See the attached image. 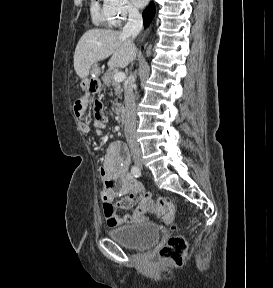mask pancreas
<instances>
[{
  "label": "pancreas",
  "instance_id": "obj_1",
  "mask_svg": "<svg viewBox=\"0 0 273 288\" xmlns=\"http://www.w3.org/2000/svg\"><path fill=\"white\" fill-rule=\"evenodd\" d=\"M102 81H103V86L110 90L109 95L113 96L112 91H114V95L117 96L116 100L113 102V110L116 111L117 108L119 107L118 98H121V94H122V90H123L122 86L119 82H116L114 80V75L110 71L106 72L103 75Z\"/></svg>",
  "mask_w": 273,
  "mask_h": 288
}]
</instances>
